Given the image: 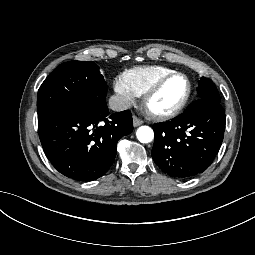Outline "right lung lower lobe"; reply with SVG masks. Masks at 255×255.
I'll return each instance as SVG.
<instances>
[{
    "label": "right lung lower lobe",
    "instance_id": "1",
    "mask_svg": "<svg viewBox=\"0 0 255 255\" xmlns=\"http://www.w3.org/2000/svg\"><path fill=\"white\" fill-rule=\"evenodd\" d=\"M43 150L63 175L92 181L104 175L116 156V144L133 130L129 110L108 115L90 105L71 101L38 117Z\"/></svg>",
    "mask_w": 255,
    "mask_h": 255
}]
</instances>
